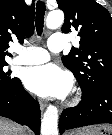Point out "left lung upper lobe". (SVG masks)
Instances as JSON below:
<instances>
[{
  "label": "left lung upper lobe",
  "mask_w": 112,
  "mask_h": 135,
  "mask_svg": "<svg viewBox=\"0 0 112 135\" xmlns=\"http://www.w3.org/2000/svg\"><path fill=\"white\" fill-rule=\"evenodd\" d=\"M65 14L64 33L77 31L80 47L62 57L73 72L82 93L99 83L112 81V18L106 8L94 0H57Z\"/></svg>",
  "instance_id": "1"
}]
</instances>
